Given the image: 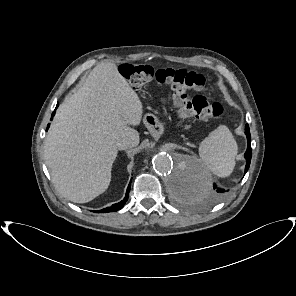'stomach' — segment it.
Masks as SVG:
<instances>
[{"label": "stomach", "instance_id": "0dacf381", "mask_svg": "<svg viewBox=\"0 0 296 296\" xmlns=\"http://www.w3.org/2000/svg\"><path fill=\"white\" fill-rule=\"evenodd\" d=\"M144 123L148 128V130L153 134L155 139L162 140L165 138L166 131L164 128L161 127L160 122L154 115L152 114L145 115Z\"/></svg>", "mask_w": 296, "mask_h": 296}]
</instances>
